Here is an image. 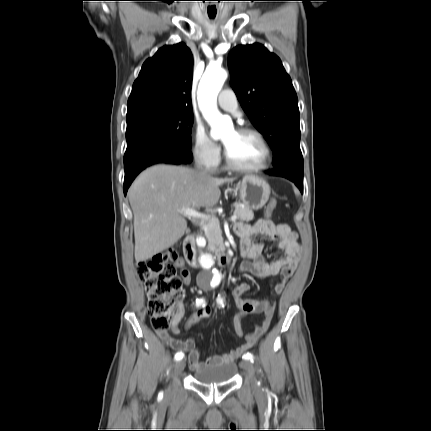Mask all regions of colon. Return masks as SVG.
Listing matches in <instances>:
<instances>
[{
    "instance_id": "1",
    "label": "colon",
    "mask_w": 431,
    "mask_h": 431,
    "mask_svg": "<svg viewBox=\"0 0 431 431\" xmlns=\"http://www.w3.org/2000/svg\"><path fill=\"white\" fill-rule=\"evenodd\" d=\"M275 207L276 201L270 200L266 205V214L270 215ZM176 259L175 252H166L157 254L138 265V275L147 290L151 324L157 330H163L169 326L175 305L184 295L181 277L173 263ZM211 316L210 304L204 301L196 313H189L185 328L194 330L198 324H204ZM243 316L242 310L234 314L233 327L238 338L245 335L241 326Z\"/></svg>"
}]
</instances>
